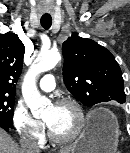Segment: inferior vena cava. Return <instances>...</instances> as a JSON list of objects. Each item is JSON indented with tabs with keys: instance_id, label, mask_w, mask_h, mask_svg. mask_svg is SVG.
Instances as JSON below:
<instances>
[{
	"instance_id": "602c4592",
	"label": "inferior vena cava",
	"mask_w": 130,
	"mask_h": 153,
	"mask_svg": "<svg viewBox=\"0 0 130 153\" xmlns=\"http://www.w3.org/2000/svg\"><path fill=\"white\" fill-rule=\"evenodd\" d=\"M22 153H40V148L36 140L31 135H25L21 139Z\"/></svg>"
}]
</instances>
